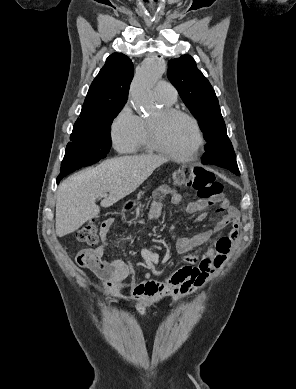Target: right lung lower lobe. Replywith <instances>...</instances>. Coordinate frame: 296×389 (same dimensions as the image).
<instances>
[{
  "mask_svg": "<svg viewBox=\"0 0 296 389\" xmlns=\"http://www.w3.org/2000/svg\"><path fill=\"white\" fill-rule=\"evenodd\" d=\"M71 172H60L59 176L57 177V184L60 182V180L70 174Z\"/></svg>",
  "mask_w": 296,
  "mask_h": 389,
  "instance_id": "right-lung-lower-lobe-1",
  "label": "right lung lower lobe"
}]
</instances>
